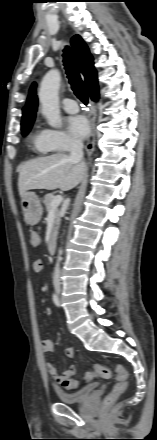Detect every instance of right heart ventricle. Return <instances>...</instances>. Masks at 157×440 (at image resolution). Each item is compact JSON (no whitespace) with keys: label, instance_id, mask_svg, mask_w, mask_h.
<instances>
[{"label":"right heart ventricle","instance_id":"1","mask_svg":"<svg viewBox=\"0 0 157 440\" xmlns=\"http://www.w3.org/2000/svg\"><path fill=\"white\" fill-rule=\"evenodd\" d=\"M30 144L33 150L39 154H49L53 151L46 139V130L36 128L30 136Z\"/></svg>","mask_w":157,"mask_h":440}]
</instances>
